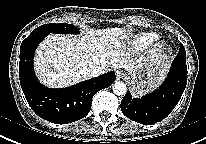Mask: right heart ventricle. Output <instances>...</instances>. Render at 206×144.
<instances>
[{"mask_svg": "<svg viewBox=\"0 0 206 144\" xmlns=\"http://www.w3.org/2000/svg\"><path fill=\"white\" fill-rule=\"evenodd\" d=\"M158 35L154 32H141L134 35L128 42L131 49L142 50L147 48Z\"/></svg>", "mask_w": 206, "mask_h": 144, "instance_id": "obj_1", "label": "right heart ventricle"}]
</instances>
